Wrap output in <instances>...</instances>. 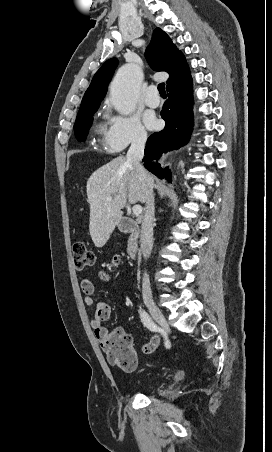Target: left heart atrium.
Returning a JSON list of instances; mask_svg holds the SVG:
<instances>
[{
  "label": "left heart atrium",
  "instance_id": "left-heart-atrium-1",
  "mask_svg": "<svg viewBox=\"0 0 272 452\" xmlns=\"http://www.w3.org/2000/svg\"><path fill=\"white\" fill-rule=\"evenodd\" d=\"M146 123H147V126H148L150 129H156V128L158 127V125H159L158 120H157L155 117H153V116H149V117L146 119Z\"/></svg>",
  "mask_w": 272,
  "mask_h": 452
}]
</instances>
